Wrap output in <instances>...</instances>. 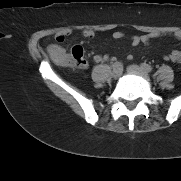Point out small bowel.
Instances as JSON below:
<instances>
[{"instance_id": "1", "label": "small bowel", "mask_w": 181, "mask_h": 181, "mask_svg": "<svg viewBox=\"0 0 181 181\" xmlns=\"http://www.w3.org/2000/svg\"><path fill=\"white\" fill-rule=\"evenodd\" d=\"M66 35V34H65ZM58 36H64V35H58ZM85 36L88 38H92L94 36V33L91 31H88L85 33ZM125 36L124 32L121 31H116L113 33V37L115 39H120ZM155 35L154 34H146V35H140V36H134L132 38V43L133 45H138L140 43H147L151 38H153ZM175 37L181 39V33H176ZM108 59L107 55H97L95 57L96 61H105ZM167 59H170L174 63L181 64V51L179 50H174Z\"/></svg>"}]
</instances>
